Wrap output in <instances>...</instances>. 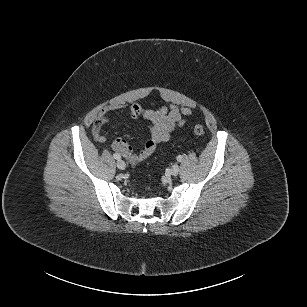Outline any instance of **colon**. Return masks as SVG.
Returning <instances> with one entry per match:
<instances>
[{"mask_svg": "<svg viewBox=\"0 0 307 307\" xmlns=\"http://www.w3.org/2000/svg\"><path fill=\"white\" fill-rule=\"evenodd\" d=\"M193 132L196 136H203L205 133V129L202 125H195L193 128ZM114 150H121L124 148V142L122 139L117 138L113 142Z\"/></svg>", "mask_w": 307, "mask_h": 307, "instance_id": "obj_1", "label": "colon"}]
</instances>
